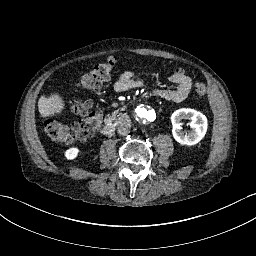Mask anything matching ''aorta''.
<instances>
[{"label":"aorta","mask_w":256,"mask_h":256,"mask_svg":"<svg viewBox=\"0 0 256 256\" xmlns=\"http://www.w3.org/2000/svg\"><path fill=\"white\" fill-rule=\"evenodd\" d=\"M137 115L140 121L147 123L153 120L155 114L152 108L145 106L139 109Z\"/></svg>","instance_id":"762f6f07"}]
</instances>
